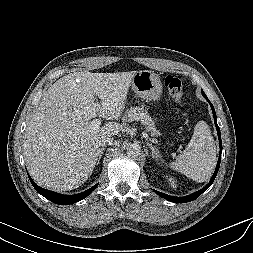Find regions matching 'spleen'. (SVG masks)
<instances>
[{
  "mask_svg": "<svg viewBox=\"0 0 253 253\" xmlns=\"http://www.w3.org/2000/svg\"><path fill=\"white\" fill-rule=\"evenodd\" d=\"M216 165V146L205 121H199L193 136L170 167L196 182L206 181Z\"/></svg>",
  "mask_w": 253,
  "mask_h": 253,
  "instance_id": "obj_1",
  "label": "spleen"
}]
</instances>
